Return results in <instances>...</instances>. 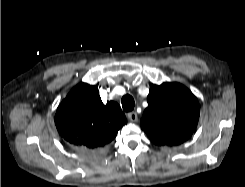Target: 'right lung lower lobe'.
<instances>
[{"label": "right lung lower lobe", "mask_w": 245, "mask_h": 187, "mask_svg": "<svg viewBox=\"0 0 245 187\" xmlns=\"http://www.w3.org/2000/svg\"><path fill=\"white\" fill-rule=\"evenodd\" d=\"M78 150H82V151H89V150H86V149H80V148H77Z\"/></svg>", "instance_id": "1"}]
</instances>
